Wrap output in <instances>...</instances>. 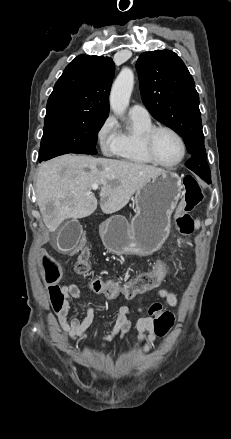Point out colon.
Here are the masks:
<instances>
[{
	"mask_svg": "<svg viewBox=\"0 0 231 439\" xmlns=\"http://www.w3.org/2000/svg\"><path fill=\"white\" fill-rule=\"evenodd\" d=\"M184 197L182 198L175 216L177 229L182 235L189 236L194 231V220L189 214L203 199L202 189L197 180L190 175L184 178ZM88 238L80 236L77 246L81 249L86 248ZM41 256L38 261L44 265L46 280L43 286H49L51 294L50 303L47 306L48 313H61L64 307V295L61 292L59 281L62 277V269L57 261L49 256L50 251L44 248L40 251ZM89 251L84 249L78 255L75 263V272L78 275H86L90 270ZM172 264L166 260H153L146 270H140L139 276L128 282L118 280H106L103 278H93L89 281V289L97 294H103L108 298L124 296V298H137V295H156L158 291L167 285L163 282L166 278V270L171 269ZM174 324V316L169 311H160L153 320V330L155 335L165 336Z\"/></svg>",
	"mask_w": 231,
	"mask_h": 439,
	"instance_id": "colon-1",
	"label": "colon"
}]
</instances>
